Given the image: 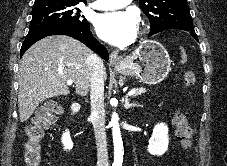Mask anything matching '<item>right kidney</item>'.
Masks as SVG:
<instances>
[{
	"mask_svg": "<svg viewBox=\"0 0 227 166\" xmlns=\"http://www.w3.org/2000/svg\"><path fill=\"white\" fill-rule=\"evenodd\" d=\"M62 143L65 150H71L73 148V142L70 137V133L66 130L62 136Z\"/></svg>",
	"mask_w": 227,
	"mask_h": 166,
	"instance_id": "ca27d5eb",
	"label": "right kidney"
}]
</instances>
